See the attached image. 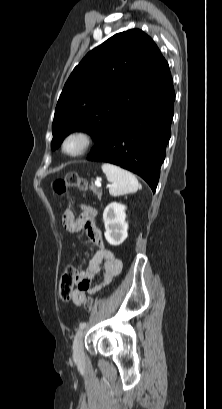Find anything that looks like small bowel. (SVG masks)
Here are the masks:
<instances>
[{
  "mask_svg": "<svg viewBox=\"0 0 222 409\" xmlns=\"http://www.w3.org/2000/svg\"><path fill=\"white\" fill-rule=\"evenodd\" d=\"M83 212L75 218L71 210L66 209L63 213V226L71 233L85 231L89 238L96 244V251L90 261L89 267L74 269L72 277L76 289L72 292V301L76 306L84 304L88 295L95 294L101 288L108 285L116 277L121 269L122 262L112 251L104 246L100 230L94 225L96 210L89 205H82ZM101 269L104 270V280L101 284L91 286V280Z\"/></svg>",
  "mask_w": 222,
  "mask_h": 409,
  "instance_id": "c3829d8e",
  "label": "small bowel"
}]
</instances>
